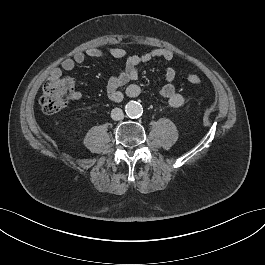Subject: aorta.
<instances>
[{
    "label": "aorta",
    "mask_w": 265,
    "mask_h": 265,
    "mask_svg": "<svg viewBox=\"0 0 265 265\" xmlns=\"http://www.w3.org/2000/svg\"><path fill=\"white\" fill-rule=\"evenodd\" d=\"M125 112L127 116L135 118L139 117L142 114L143 108L140 103L136 101H130L125 106Z\"/></svg>",
    "instance_id": "1"
}]
</instances>
